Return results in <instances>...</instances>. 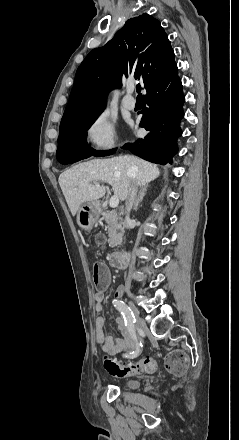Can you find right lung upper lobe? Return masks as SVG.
I'll list each match as a JSON object with an SVG mask.
<instances>
[{
	"label": "right lung upper lobe",
	"mask_w": 239,
	"mask_h": 440,
	"mask_svg": "<svg viewBox=\"0 0 239 440\" xmlns=\"http://www.w3.org/2000/svg\"><path fill=\"white\" fill-rule=\"evenodd\" d=\"M175 65L174 52L160 22L143 14L127 20L113 40L92 50L77 69L62 122L105 108L107 94L128 76L144 87Z\"/></svg>",
	"instance_id": "cb5924a9"
}]
</instances>
